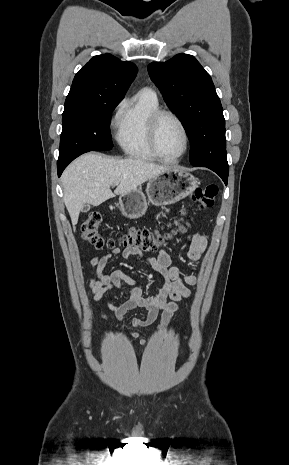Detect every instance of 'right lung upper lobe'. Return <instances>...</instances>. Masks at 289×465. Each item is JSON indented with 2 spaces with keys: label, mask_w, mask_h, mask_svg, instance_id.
<instances>
[{
  "label": "right lung upper lobe",
  "mask_w": 289,
  "mask_h": 465,
  "mask_svg": "<svg viewBox=\"0 0 289 465\" xmlns=\"http://www.w3.org/2000/svg\"><path fill=\"white\" fill-rule=\"evenodd\" d=\"M137 74V67L111 54L94 56L74 77L63 114L122 100Z\"/></svg>",
  "instance_id": "1"
}]
</instances>
